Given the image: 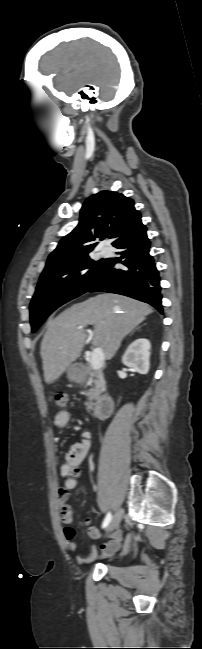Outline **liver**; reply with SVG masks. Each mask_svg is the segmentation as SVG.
<instances>
[{
	"label": "liver",
	"instance_id": "obj_1",
	"mask_svg": "<svg viewBox=\"0 0 202 649\" xmlns=\"http://www.w3.org/2000/svg\"><path fill=\"white\" fill-rule=\"evenodd\" d=\"M152 312V307L146 303L109 293L64 310L49 321L41 342L45 382L53 383L81 355L87 337L86 326L94 325L92 345L100 347L104 358L109 360L124 337Z\"/></svg>",
	"mask_w": 202,
	"mask_h": 649
}]
</instances>
